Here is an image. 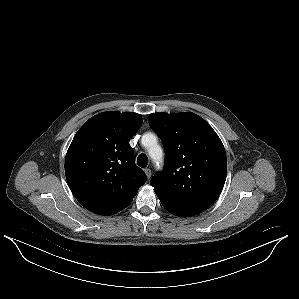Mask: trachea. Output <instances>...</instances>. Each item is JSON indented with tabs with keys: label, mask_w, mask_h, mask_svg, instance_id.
I'll list each match as a JSON object with an SVG mask.
<instances>
[{
	"label": "trachea",
	"mask_w": 299,
	"mask_h": 299,
	"mask_svg": "<svg viewBox=\"0 0 299 299\" xmlns=\"http://www.w3.org/2000/svg\"><path fill=\"white\" fill-rule=\"evenodd\" d=\"M137 164L145 168L148 165V157L145 154H140L137 158Z\"/></svg>",
	"instance_id": "1"
}]
</instances>
